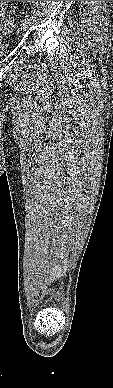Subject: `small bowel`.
Returning <instances> with one entry per match:
<instances>
[{
	"label": "small bowel",
	"instance_id": "small-bowel-1",
	"mask_svg": "<svg viewBox=\"0 0 113 388\" xmlns=\"http://www.w3.org/2000/svg\"><path fill=\"white\" fill-rule=\"evenodd\" d=\"M0 2H3V4H4L3 6L0 5V22H1V20L4 21V22L5 21L7 22L8 21V17H7V14L4 11L5 10V6H6V1H0Z\"/></svg>",
	"mask_w": 113,
	"mask_h": 388
}]
</instances>
